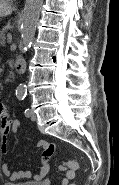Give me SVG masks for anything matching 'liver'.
I'll list each match as a JSON object with an SVG mask.
<instances>
[{"instance_id": "6515ba94", "label": "liver", "mask_w": 119, "mask_h": 185, "mask_svg": "<svg viewBox=\"0 0 119 185\" xmlns=\"http://www.w3.org/2000/svg\"><path fill=\"white\" fill-rule=\"evenodd\" d=\"M12 13V7L8 0H0V17L10 15Z\"/></svg>"}]
</instances>
